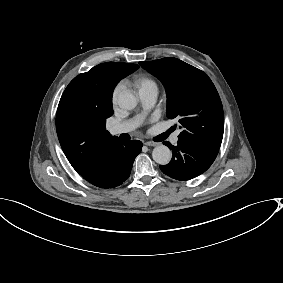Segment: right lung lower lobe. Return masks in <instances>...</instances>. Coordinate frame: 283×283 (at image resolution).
Wrapping results in <instances>:
<instances>
[{"label":"right lung lower lobe","instance_id":"98d812e1","mask_svg":"<svg viewBox=\"0 0 283 283\" xmlns=\"http://www.w3.org/2000/svg\"><path fill=\"white\" fill-rule=\"evenodd\" d=\"M141 149L140 141H123L80 175L99 188L108 189L119 186L129 177L133 162Z\"/></svg>","mask_w":283,"mask_h":283}]
</instances>
